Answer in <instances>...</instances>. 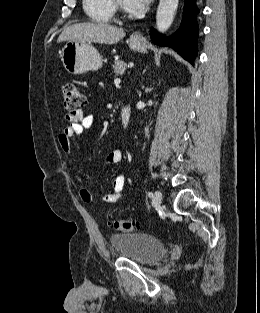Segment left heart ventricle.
<instances>
[{"instance_id": "1", "label": "left heart ventricle", "mask_w": 260, "mask_h": 313, "mask_svg": "<svg viewBox=\"0 0 260 313\" xmlns=\"http://www.w3.org/2000/svg\"><path fill=\"white\" fill-rule=\"evenodd\" d=\"M119 1H120L121 5L124 7V5H123V1H122V0H119Z\"/></svg>"}]
</instances>
